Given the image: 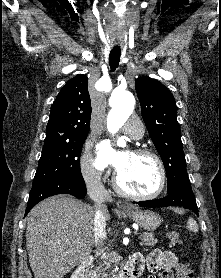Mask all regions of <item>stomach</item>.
Listing matches in <instances>:
<instances>
[{
    "mask_svg": "<svg viewBox=\"0 0 221 278\" xmlns=\"http://www.w3.org/2000/svg\"><path fill=\"white\" fill-rule=\"evenodd\" d=\"M124 215L136 222L145 230L153 231L161 224V217L152 211H143L137 208L124 211Z\"/></svg>",
    "mask_w": 221,
    "mask_h": 278,
    "instance_id": "stomach-1",
    "label": "stomach"
}]
</instances>
